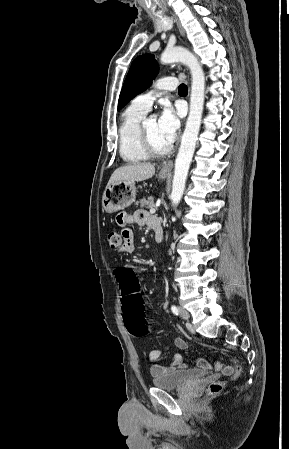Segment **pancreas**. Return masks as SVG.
<instances>
[{"label": "pancreas", "mask_w": 289, "mask_h": 449, "mask_svg": "<svg viewBox=\"0 0 289 449\" xmlns=\"http://www.w3.org/2000/svg\"><path fill=\"white\" fill-rule=\"evenodd\" d=\"M136 205L141 208H151L154 206V200L152 197H148L147 199L143 198L142 200L137 201Z\"/></svg>", "instance_id": "pancreas-1"}]
</instances>
